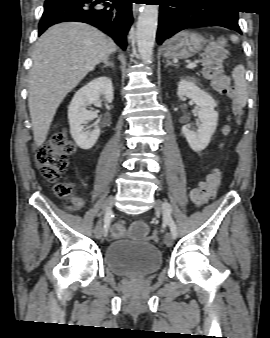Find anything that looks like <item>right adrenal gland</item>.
<instances>
[{
    "mask_svg": "<svg viewBox=\"0 0 270 338\" xmlns=\"http://www.w3.org/2000/svg\"><path fill=\"white\" fill-rule=\"evenodd\" d=\"M107 67L113 68V67H114L113 62L106 60V61L104 62L103 68H107Z\"/></svg>",
    "mask_w": 270,
    "mask_h": 338,
    "instance_id": "right-adrenal-gland-1",
    "label": "right adrenal gland"
}]
</instances>
